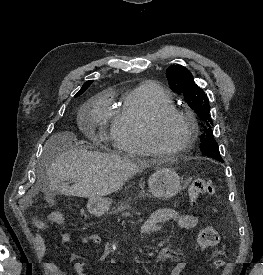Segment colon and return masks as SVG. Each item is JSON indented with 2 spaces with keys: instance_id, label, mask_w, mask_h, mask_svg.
Listing matches in <instances>:
<instances>
[{
  "instance_id": "5ec220e1",
  "label": "colon",
  "mask_w": 263,
  "mask_h": 275,
  "mask_svg": "<svg viewBox=\"0 0 263 275\" xmlns=\"http://www.w3.org/2000/svg\"><path fill=\"white\" fill-rule=\"evenodd\" d=\"M215 193L213 182L206 178H195L189 187V198L193 205H196L198 200L204 196H211ZM51 220L55 223H62L64 220L63 214L54 212L51 214ZM218 242V234L211 228L201 230L197 236V243L201 248H210ZM225 265L223 259H216L211 263L215 269L222 268Z\"/></svg>"
}]
</instances>
